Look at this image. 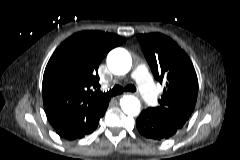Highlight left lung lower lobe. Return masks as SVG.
Segmentation results:
<instances>
[{
    "label": "left lung lower lobe",
    "instance_id": "left-lung-lower-lobe-1",
    "mask_svg": "<svg viewBox=\"0 0 240 160\" xmlns=\"http://www.w3.org/2000/svg\"><path fill=\"white\" fill-rule=\"evenodd\" d=\"M136 127L141 135L156 141L170 139L180 130L162 119L151 107L141 112L136 119Z\"/></svg>",
    "mask_w": 240,
    "mask_h": 160
}]
</instances>
